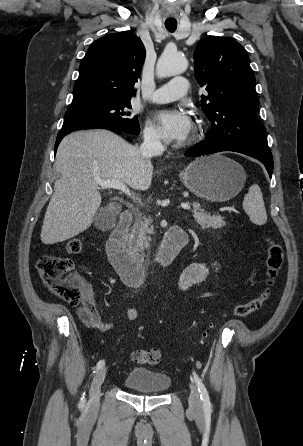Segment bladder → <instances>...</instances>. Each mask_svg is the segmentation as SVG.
<instances>
[{"mask_svg": "<svg viewBox=\"0 0 303 446\" xmlns=\"http://www.w3.org/2000/svg\"><path fill=\"white\" fill-rule=\"evenodd\" d=\"M123 384L131 391L162 394L170 389L172 381L166 373L135 367L127 373Z\"/></svg>", "mask_w": 303, "mask_h": 446, "instance_id": "bladder-1", "label": "bladder"}]
</instances>
